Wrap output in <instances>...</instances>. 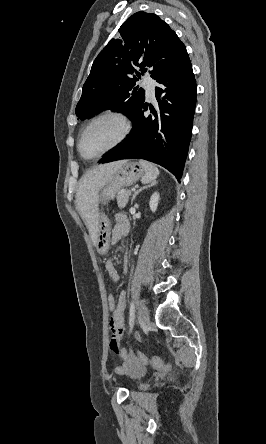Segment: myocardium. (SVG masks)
Returning <instances> with one entry per match:
<instances>
[{
    "mask_svg": "<svg viewBox=\"0 0 266 444\" xmlns=\"http://www.w3.org/2000/svg\"><path fill=\"white\" fill-rule=\"evenodd\" d=\"M102 119H112L114 121H116L120 127V134L117 137V139L105 150H103L102 152L93 155V156H101L104 154L109 153L110 151L116 149L117 147H119L128 137L129 133H130V125L128 123V121L126 120V118L117 113V112H103L95 117H93L85 126L84 128L81 130L79 137H78V141H77V148H78V152L80 153V155L82 157H87L82 149V140H83V136L85 134V132L96 122L102 120Z\"/></svg>",
    "mask_w": 266,
    "mask_h": 444,
    "instance_id": "myocardium-1",
    "label": "myocardium"
}]
</instances>
